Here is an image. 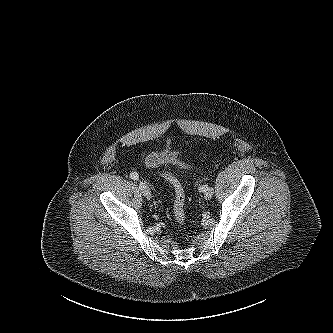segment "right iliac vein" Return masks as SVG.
Returning a JSON list of instances; mask_svg holds the SVG:
<instances>
[{
    "instance_id": "63e3f726",
    "label": "right iliac vein",
    "mask_w": 333,
    "mask_h": 333,
    "mask_svg": "<svg viewBox=\"0 0 333 333\" xmlns=\"http://www.w3.org/2000/svg\"><path fill=\"white\" fill-rule=\"evenodd\" d=\"M139 189L145 197L151 198V192H150V189H149V187L147 186L146 183L140 181L139 182Z\"/></svg>"
}]
</instances>
